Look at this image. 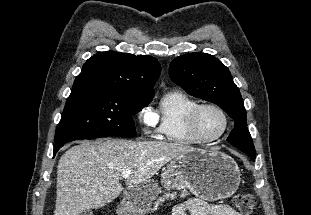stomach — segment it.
Wrapping results in <instances>:
<instances>
[{"mask_svg": "<svg viewBox=\"0 0 311 215\" xmlns=\"http://www.w3.org/2000/svg\"><path fill=\"white\" fill-rule=\"evenodd\" d=\"M166 189L183 190L207 200L232 196L240 184V170L229 155L216 151L193 149L171 161L161 174ZM160 192L149 180L127 189L118 215H145Z\"/></svg>", "mask_w": 311, "mask_h": 215, "instance_id": "1", "label": "stomach"}]
</instances>
